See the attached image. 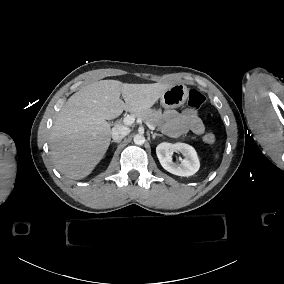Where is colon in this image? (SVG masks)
I'll use <instances>...</instances> for the list:
<instances>
[{"label": "colon", "mask_w": 284, "mask_h": 284, "mask_svg": "<svg viewBox=\"0 0 284 284\" xmlns=\"http://www.w3.org/2000/svg\"><path fill=\"white\" fill-rule=\"evenodd\" d=\"M205 103L204 95L197 89H190L188 92V106L192 109H199ZM215 141V137L212 133L204 135V142L212 144Z\"/></svg>", "instance_id": "5ec220e1"}]
</instances>
